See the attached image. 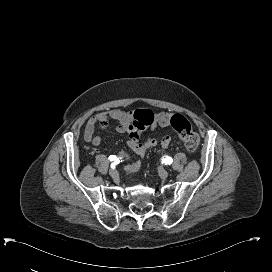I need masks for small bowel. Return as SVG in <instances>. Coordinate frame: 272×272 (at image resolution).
Listing matches in <instances>:
<instances>
[{
	"label": "small bowel",
	"mask_w": 272,
	"mask_h": 272,
	"mask_svg": "<svg viewBox=\"0 0 272 272\" xmlns=\"http://www.w3.org/2000/svg\"><path fill=\"white\" fill-rule=\"evenodd\" d=\"M169 116L166 113H158L155 116L153 123L150 126L151 130L157 127L169 126L168 123ZM132 115L129 112L123 111L121 109H111L109 111H104L91 116L85 126L84 138L86 141L92 143L93 146L97 147L101 144L102 138L100 136H93L94 128L97 123L101 120H114L116 121V131L119 133H132L135 129L131 126ZM172 139L170 136L166 135L161 139V146L163 149H168ZM157 145V140L155 138H148L143 144L137 143L135 141L129 142V147L137 155L142 156L147 149ZM123 151H120V156H123ZM140 166L139 161H135L126 167L127 170L133 171L138 169Z\"/></svg>",
	"instance_id": "c3829d8e"
}]
</instances>
